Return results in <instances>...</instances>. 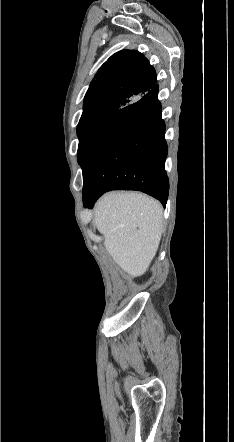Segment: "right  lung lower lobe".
<instances>
[{
	"mask_svg": "<svg viewBox=\"0 0 234 442\" xmlns=\"http://www.w3.org/2000/svg\"><path fill=\"white\" fill-rule=\"evenodd\" d=\"M168 147L158 85L120 109L81 164L83 202L92 207L104 192L138 190L166 205Z\"/></svg>",
	"mask_w": 234,
	"mask_h": 442,
	"instance_id": "right-lung-lower-lobe-1",
	"label": "right lung lower lobe"
}]
</instances>
